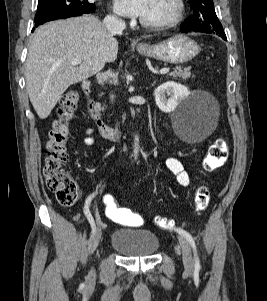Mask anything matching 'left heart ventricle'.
Here are the masks:
<instances>
[{
    "label": "left heart ventricle",
    "instance_id": "obj_1",
    "mask_svg": "<svg viewBox=\"0 0 267 301\" xmlns=\"http://www.w3.org/2000/svg\"><path fill=\"white\" fill-rule=\"evenodd\" d=\"M175 11L174 0H149L143 20L149 22L164 21L172 16Z\"/></svg>",
    "mask_w": 267,
    "mask_h": 301
}]
</instances>
